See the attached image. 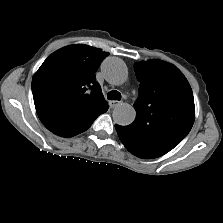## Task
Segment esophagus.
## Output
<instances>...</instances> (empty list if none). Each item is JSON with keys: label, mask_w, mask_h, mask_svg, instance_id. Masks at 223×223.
Masks as SVG:
<instances>
[{"label": "esophagus", "mask_w": 223, "mask_h": 223, "mask_svg": "<svg viewBox=\"0 0 223 223\" xmlns=\"http://www.w3.org/2000/svg\"><path fill=\"white\" fill-rule=\"evenodd\" d=\"M120 103H121L120 101H110L109 106H110V108H114L117 105H119Z\"/></svg>", "instance_id": "esophagus-1"}]
</instances>
